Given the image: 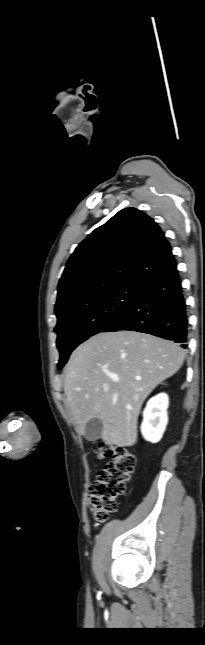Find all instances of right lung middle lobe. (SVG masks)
<instances>
[{"label":"right lung middle lobe","instance_id":"right-lung-middle-lobe-1","mask_svg":"<svg viewBox=\"0 0 205 645\" xmlns=\"http://www.w3.org/2000/svg\"><path fill=\"white\" fill-rule=\"evenodd\" d=\"M138 284H123L111 290L81 298L56 313L60 352L58 369L67 362L70 353L89 337L100 333L136 300Z\"/></svg>","mask_w":205,"mask_h":645}]
</instances>
